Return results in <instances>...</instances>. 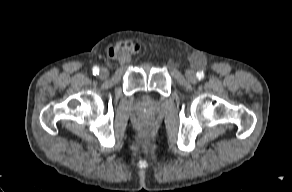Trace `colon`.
<instances>
[{
    "mask_svg": "<svg viewBox=\"0 0 292 192\" xmlns=\"http://www.w3.org/2000/svg\"><path fill=\"white\" fill-rule=\"evenodd\" d=\"M123 50H128V51H137V46L134 45L133 43H127L124 46L121 47Z\"/></svg>",
    "mask_w": 292,
    "mask_h": 192,
    "instance_id": "5ec220e1",
    "label": "colon"
}]
</instances>
